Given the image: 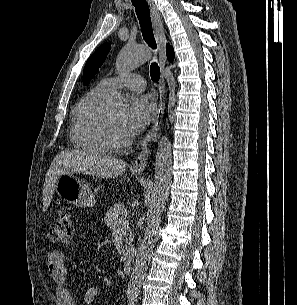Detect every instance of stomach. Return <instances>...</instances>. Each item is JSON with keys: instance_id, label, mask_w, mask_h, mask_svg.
<instances>
[{"instance_id": "obj_1", "label": "stomach", "mask_w": 297, "mask_h": 305, "mask_svg": "<svg viewBox=\"0 0 297 305\" xmlns=\"http://www.w3.org/2000/svg\"><path fill=\"white\" fill-rule=\"evenodd\" d=\"M54 191L70 204L81 207H93L96 200L92 190L75 173L62 174L55 183Z\"/></svg>"}]
</instances>
